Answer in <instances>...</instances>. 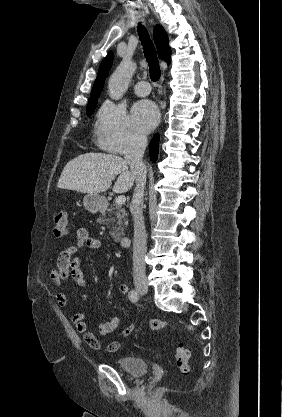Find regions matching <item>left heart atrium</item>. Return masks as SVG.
Returning <instances> with one entry per match:
<instances>
[{"instance_id": "obj_1", "label": "left heart atrium", "mask_w": 282, "mask_h": 417, "mask_svg": "<svg viewBox=\"0 0 282 417\" xmlns=\"http://www.w3.org/2000/svg\"><path fill=\"white\" fill-rule=\"evenodd\" d=\"M134 124L142 131L150 130L159 119V111L150 101L138 102L132 111Z\"/></svg>"}]
</instances>
